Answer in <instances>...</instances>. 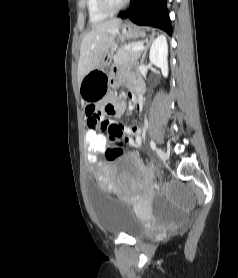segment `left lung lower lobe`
Segmentation results:
<instances>
[{
    "label": "left lung lower lobe",
    "mask_w": 238,
    "mask_h": 278,
    "mask_svg": "<svg viewBox=\"0 0 238 278\" xmlns=\"http://www.w3.org/2000/svg\"><path fill=\"white\" fill-rule=\"evenodd\" d=\"M120 17L129 18L138 25L157 27L169 35L172 34L166 0H132L129 9Z\"/></svg>",
    "instance_id": "1"
}]
</instances>
